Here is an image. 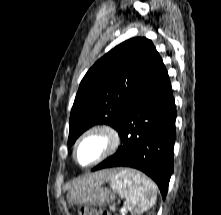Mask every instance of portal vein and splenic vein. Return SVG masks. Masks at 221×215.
I'll use <instances>...</instances> for the list:
<instances>
[{
  "label": "portal vein and splenic vein",
  "mask_w": 221,
  "mask_h": 215,
  "mask_svg": "<svg viewBox=\"0 0 221 215\" xmlns=\"http://www.w3.org/2000/svg\"><path fill=\"white\" fill-rule=\"evenodd\" d=\"M121 211L125 212V211H126V209H121Z\"/></svg>",
  "instance_id": "1"
}]
</instances>
